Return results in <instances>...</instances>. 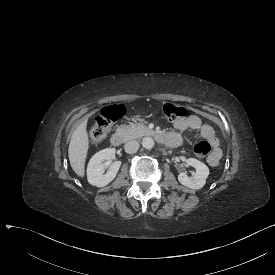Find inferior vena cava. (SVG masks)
Here are the masks:
<instances>
[{"label":"inferior vena cava","mask_w":275,"mask_h":275,"mask_svg":"<svg viewBox=\"0 0 275 275\" xmlns=\"http://www.w3.org/2000/svg\"><path fill=\"white\" fill-rule=\"evenodd\" d=\"M125 152L132 154L139 149V143L136 140L128 141L124 146Z\"/></svg>","instance_id":"1"}]
</instances>
